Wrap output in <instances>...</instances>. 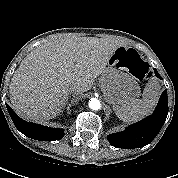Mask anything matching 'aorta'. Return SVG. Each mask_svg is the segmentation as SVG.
I'll return each instance as SVG.
<instances>
[{"mask_svg":"<svg viewBox=\"0 0 178 178\" xmlns=\"http://www.w3.org/2000/svg\"><path fill=\"white\" fill-rule=\"evenodd\" d=\"M89 107L92 110H99L101 108V103H100V101L97 98H92L89 101Z\"/></svg>","mask_w":178,"mask_h":178,"instance_id":"aorta-1","label":"aorta"}]
</instances>
